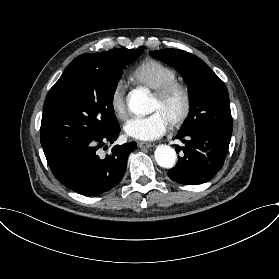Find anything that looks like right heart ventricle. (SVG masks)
Returning a JSON list of instances; mask_svg holds the SVG:
<instances>
[{"label":"right heart ventricle","mask_w":279,"mask_h":279,"mask_svg":"<svg viewBox=\"0 0 279 279\" xmlns=\"http://www.w3.org/2000/svg\"><path fill=\"white\" fill-rule=\"evenodd\" d=\"M133 76L154 91L178 79V73L173 67L155 59L141 62L133 71Z\"/></svg>","instance_id":"1"}]
</instances>
